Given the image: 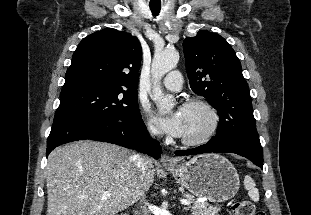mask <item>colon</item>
Segmentation results:
<instances>
[{
  "mask_svg": "<svg viewBox=\"0 0 311 215\" xmlns=\"http://www.w3.org/2000/svg\"><path fill=\"white\" fill-rule=\"evenodd\" d=\"M233 215H266L262 211H257L255 205L248 200L238 201L233 204Z\"/></svg>",
  "mask_w": 311,
  "mask_h": 215,
  "instance_id": "5ec220e1",
  "label": "colon"
}]
</instances>
